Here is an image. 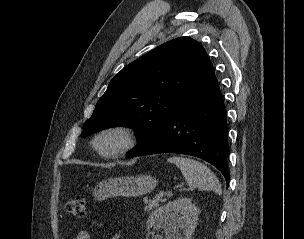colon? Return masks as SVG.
<instances>
[{
	"instance_id": "colon-1",
	"label": "colon",
	"mask_w": 304,
	"mask_h": 239,
	"mask_svg": "<svg viewBox=\"0 0 304 239\" xmlns=\"http://www.w3.org/2000/svg\"><path fill=\"white\" fill-rule=\"evenodd\" d=\"M67 212L76 217L83 218L86 214V199L83 196H77L66 203Z\"/></svg>"
}]
</instances>
